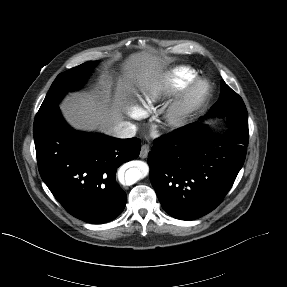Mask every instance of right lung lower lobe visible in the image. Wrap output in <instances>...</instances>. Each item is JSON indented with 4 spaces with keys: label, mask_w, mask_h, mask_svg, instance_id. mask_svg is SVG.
<instances>
[{
    "label": "right lung lower lobe",
    "mask_w": 287,
    "mask_h": 287,
    "mask_svg": "<svg viewBox=\"0 0 287 287\" xmlns=\"http://www.w3.org/2000/svg\"><path fill=\"white\" fill-rule=\"evenodd\" d=\"M33 135L41 178L71 215L101 224L122 213L127 196L115 174L121 164L138 157V138L75 131L58 105L37 113Z\"/></svg>",
    "instance_id": "obj_1"
}]
</instances>
